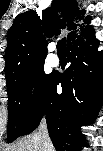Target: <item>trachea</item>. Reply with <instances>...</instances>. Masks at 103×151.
Wrapping results in <instances>:
<instances>
[{"instance_id": "obj_1", "label": "trachea", "mask_w": 103, "mask_h": 151, "mask_svg": "<svg viewBox=\"0 0 103 151\" xmlns=\"http://www.w3.org/2000/svg\"><path fill=\"white\" fill-rule=\"evenodd\" d=\"M57 53L59 55H66V38H63L57 43Z\"/></svg>"}]
</instances>
